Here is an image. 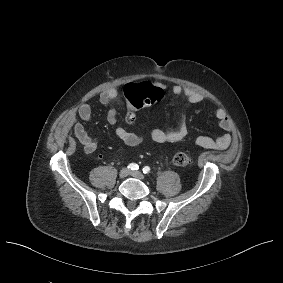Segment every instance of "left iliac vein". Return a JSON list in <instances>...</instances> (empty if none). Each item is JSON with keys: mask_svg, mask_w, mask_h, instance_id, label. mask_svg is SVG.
Here are the masks:
<instances>
[{"mask_svg": "<svg viewBox=\"0 0 283 283\" xmlns=\"http://www.w3.org/2000/svg\"><path fill=\"white\" fill-rule=\"evenodd\" d=\"M130 175H132L133 177L138 178L140 180L145 179V176L139 171H132V172H130Z\"/></svg>", "mask_w": 283, "mask_h": 283, "instance_id": "4c4485c4", "label": "left iliac vein"}]
</instances>
